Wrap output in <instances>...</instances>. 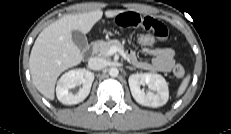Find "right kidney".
I'll return each instance as SVG.
<instances>
[{
	"mask_svg": "<svg viewBox=\"0 0 231 134\" xmlns=\"http://www.w3.org/2000/svg\"><path fill=\"white\" fill-rule=\"evenodd\" d=\"M94 74L85 69H73L61 76L56 87L58 100L65 105L82 102L90 93ZM82 85L77 94L70 92L72 88Z\"/></svg>",
	"mask_w": 231,
	"mask_h": 134,
	"instance_id": "ca27d5eb",
	"label": "right kidney"
}]
</instances>
